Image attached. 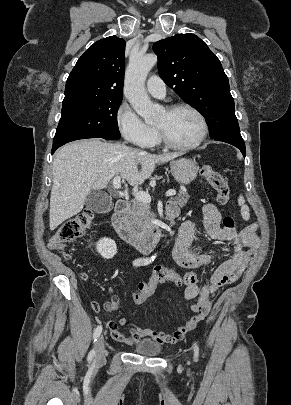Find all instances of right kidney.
Instances as JSON below:
<instances>
[{
  "label": "right kidney",
  "mask_w": 291,
  "mask_h": 405,
  "mask_svg": "<svg viewBox=\"0 0 291 405\" xmlns=\"http://www.w3.org/2000/svg\"><path fill=\"white\" fill-rule=\"evenodd\" d=\"M96 249L104 259H111L117 253L115 241L109 238L100 239L96 244Z\"/></svg>",
  "instance_id": "obj_1"
}]
</instances>
